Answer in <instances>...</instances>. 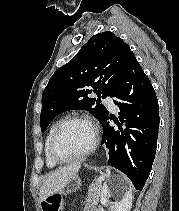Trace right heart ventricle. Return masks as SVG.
I'll list each match as a JSON object with an SVG mask.
<instances>
[{"mask_svg":"<svg viewBox=\"0 0 179 211\" xmlns=\"http://www.w3.org/2000/svg\"><path fill=\"white\" fill-rule=\"evenodd\" d=\"M60 121H56L55 123H53L51 125V127L49 128V131L47 133L46 139H45V145H44V153H45V162L48 168H55L58 163H56L50 153H49V144H50V140L52 137V134L55 130V128L57 127V125L59 124Z\"/></svg>","mask_w":179,"mask_h":211,"instance_id":"1","label":"right heart ventricle"}]
</instances>
